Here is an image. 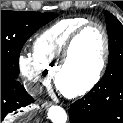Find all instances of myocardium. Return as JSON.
Masks as SVG:
<instances>
[{
  "mask_svg": "<svg viewBox=\"0 0 123 123\" xmlns=\"http://www.w3.org/2000/svg\"><path fill=\"white\" fill-rule=\"evenodd\" d=\"M92 26L98 27L100 29V31L102 33V37H103V52H102L97 70L94 73V75L92 76V78L85 84H83L77 88L67 89V88L63 87L61 84V75L64 72V70L66 69V67L70 61L75 42L88 28H90ZM109 53H110L109 36H108L107 30L103 26V24H101L100 22H97V21H88L85 24H83L82 26H80L79 28H77L71 34V36L68 38V40L63 48L59 62L53 70V79H54L55 85L58 88V90L67 97H77V96H81V95L88 93L100 81V79L103 75V72L105 70L106 64L108 62Z\"/></svg>",
  "mask_w": 123,
  "mask_h": 123,
  "instance_id": "obj_1",
  "label": "myocardium"
}]
</instances>
